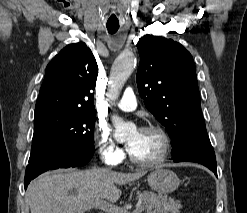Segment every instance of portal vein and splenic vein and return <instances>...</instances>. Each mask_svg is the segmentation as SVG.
I'll list each match as a JSON object with an SVG mask.
<instances>
[{
    "instance_id": "18ae733b",
    "label": "portal vein and splenic vein",
    "mask_w": 247,
    "mask_h": 213,
    "mask_svg": "<svg viewBox=\"0 0 247 213\" xmlns=\"http://www.w3.org/2000/svg\"><path fill=\"white\" fill-rule=\"evenodd\" d=\"M87 205L89 206V208H98L107 213H130L125 208L115 206L101 199L91 201ZM143 209L144 208L141 205H138L133 213H140Z\"/></svg>"
}]
</instances>
